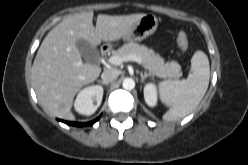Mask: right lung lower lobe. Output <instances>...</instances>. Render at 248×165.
Segmentation results:
<instances>
[{"mask_svg":"<svg viewBox=\"0 0 248 165\" xmlns=\"http://www.w3.org/2000/svg\"><path fill=\"white\" fill-rule=\"evenodd\" d=\"M99 118L100 117H98L97 119H95L89 123L69 122V121H64V120H61V121L68 124V125H72V126H89V125H93Z\"/></svg>","mask_w":248,"mask_h":165,"instance_id":"right-lung-lower-lobe-1","label":"right lung lower lobe"}]
</instances>
